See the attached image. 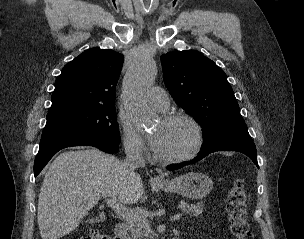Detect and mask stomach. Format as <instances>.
<instances>
[{"label": "stomach", "mask_w": 304, "mask_h": 239, "mask_svg": "<svg viewBox=\"0 0 304 239\" xmlns=\"http://www.w3.org/2000/svg\"><path fill=\"white\" fill-rule=\"evenodd\" d=\"M165 192L178 193L192 199L207 196L212 188L213 181L206 174L189 172L159 185Z\"/></svg>", "instance_id": "stomach-1"}]
</instances>
